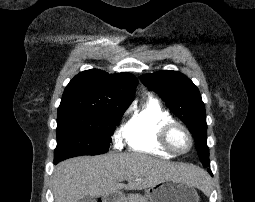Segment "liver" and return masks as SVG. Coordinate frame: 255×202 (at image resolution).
<instances>
[{"mask_svg":"<svg viewBox=\"0 0 255 202\" xmlns=\"http://www.w3.org/2000/svg\"><path fill=\"white\" fill-rule=\"evenodd\" d=\"M124 179L127 185L121 183ZM168 179L204 188L208 177L194 165L162 161L140 153H109L59 163L53 174V192L55 202H79L85 196L97 198L123 188L142 190Z\"/></svg>","mask_w":255,"mask_h":202,"instance_id":"6515ba94","label":"liver"}]
</instances>
